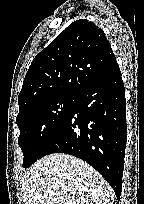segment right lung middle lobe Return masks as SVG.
<instances>
[{"label": "right lung middle lobe", "mask_w": 144, "mask_h": 204, "mask_svg": "<svg viewBox=\"0 0 144 204\" xmlns=\"http://www.w3.org/2000/svg\"><path fill=\"white\" fill-rule=\"evenodd\" d=\"M75 96L52 97L17 116L16 123L20 130L18 144L24 155V168H28L41 158L45 144L67 117Z\"/></svg>", "instance_id": "obj_1"}]
</instances>
